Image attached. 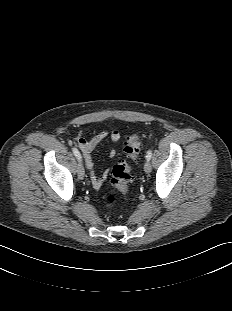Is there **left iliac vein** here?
Wrapping results in <instances>:
<instances>
[{
	"label": "left iliac vein",
	"instance_id": "1",
	"mask_svg": "<svg viewBox=\"0 0 232 311\" xmlns=\"http://www.w3.org/2000/svg\"><path fill=\"white\" fill-rule=\"evenodd\" d=\"M152 170V166H151V163L149 160H146L145 163H144V171L146 173H150Z\"/></svg>",
	"mask_w": 232,
	"mask_h": 311
}]
</instances>
